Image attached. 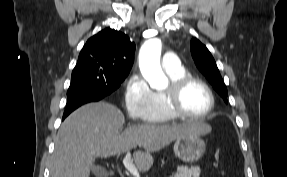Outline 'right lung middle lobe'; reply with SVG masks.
Returning a JSON list of instances; mask_svg holds the SVG:
<instances>
[{"instance_id":"1","label":"right lung middle lobe","mask_w":287,"mask_h":177,"mask_svg":"<svg viewBox=\"0 0 287 177\" xmlns=\"http://www.w3.org/2000/svg\"><path fill=\"white\" fill-rule=\"evenodd\" d=\"M126 77L127 75H112L93 68L75 67L67 93L81 89H96L104 90L109 95L120 86Z\"/></svg>"}]
</instances>
